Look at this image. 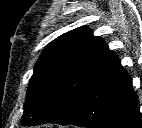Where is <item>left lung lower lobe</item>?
<instances>
[{
  "label": "left lung lower lobe",
  "mask_w": 142,
  "mask_h": 128,
  "mask_svg": "<svg viewBox=\"0 0 142 128\" xmlns=\"http://www.w3.org/2000/svg\"><path fill=\"white\" fill-rule=\"evenodd\" d=\"M132 79L116 58L80 93L65 118L54 123L86 128H141Z\"/></svg>",
  "instance_id": "left-lung-lower-lobe-1"
}]
</instances>
